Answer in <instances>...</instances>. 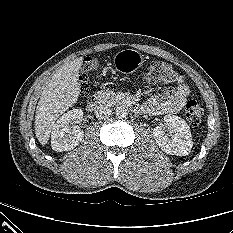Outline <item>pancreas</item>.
<instances>
[{
    "instance_id": "obj_1",
    "label": "pancreas",
    "mask_w": 233,
    "mask_h": 233,
    "mask_svg": "<svg viewBox=\"0 0 233 233\" xmlns=\"http://www.w3.org/2000/svg\"><path fill=\"white\" fill-rule=\"evenodd\" d=\"M96 96L101 101L107 102V103H114L115 101H117V95L113 91H110V90H101L97 92Z\"/></svg>"
}]
</instances>
